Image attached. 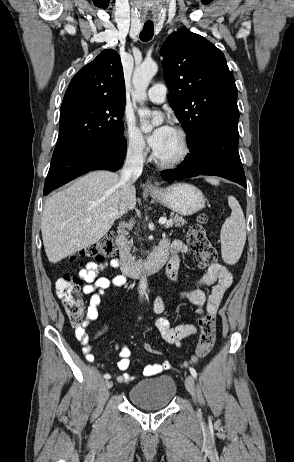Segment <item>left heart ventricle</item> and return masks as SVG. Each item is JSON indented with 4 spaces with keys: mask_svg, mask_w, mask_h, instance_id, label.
<instances>
[{
    "mask_svg": "<svg viewBox=\"0 0 294 462\" xmlns=\"http://www.w3.org/2000/svg\"><path fill=\"white\" fill-rule=\"evenodd\" d=\"M182 150L180 138L174 131L165 142L162 150L157 154L159 158L169 160L177 157Z\"/></svg>",
    "mask_w": 294,
    "mask_h": 462,
    "instance_id": "b2bd125f",
    "label": "left heart ventricle"
}]
</instances>
